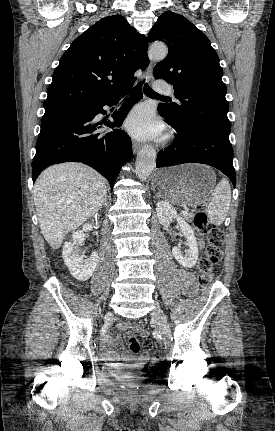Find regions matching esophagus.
Here are the masks:
<instances>
[{
	"label": "esophagus",
	"mask_w": 275,
	"mask_h": 431,
	"mask_svg": "<svg viewBox=\"0 0 275 431\" xmlns=\"http://www.w3.org/2000/svg\"><path fill=\"white\" fill-rule=\"evenodd\" d=\"M152 72H153V64L152 62L149 63L147 69L144 72V78L146 81H150L152 78ZM141 148V145L139 143L134 142L133 143V152L136 153Z\"/></svg>",
	"instance_id": "esophagus-1"
}]
</instances>
